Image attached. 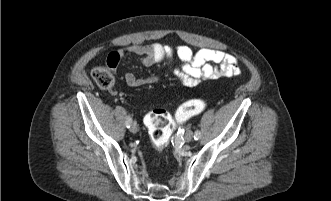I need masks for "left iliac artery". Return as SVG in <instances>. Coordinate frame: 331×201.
Returning a JSON list of instances; mask_svg holds the SVG:
<instances>
[{
  "label": "left iliac artery",
  "mask_w": 331,
  "mask_h": 201,
  "mask_svg": "<svg viewBox=\"0 0 331 201\" xmlns=\"http://www.w3.org/2000/svg\"><path fill=\"white\" fill-rule=\"evenodd\" d=\"M200 138H201V132L199 130H197L194 134V139L199 140Z\"/></svg>",
  "instance_id": "1"
}]
</instances>
